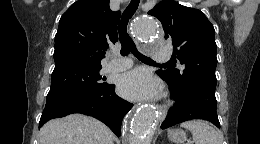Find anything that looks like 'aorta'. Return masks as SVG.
I'll list each match as a JSON object with an SVG mask.
<instances>
[{
  "label": "aorta",
  "mask_w": 260,
  "mask_h": 144,
  "mask_svg": "<svg viewBox=\"0 0 260 144\" xmlns=\"http://www.w3.org/2000/svg\"><path fill=\"white\" fill-rule=\"evenodd\" d=\"M133 30L136 37L144 42L158 38L157 24L150 17L138 19ZM156 120L157 112L150 105L132 112L126 120V135L129 144H150Z\"/></svg>",
  "instance_id": "aorta-1"
}]
</instances>
